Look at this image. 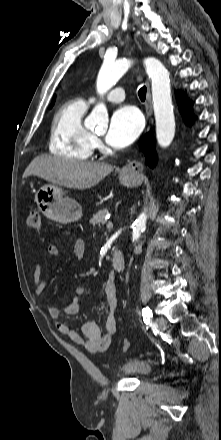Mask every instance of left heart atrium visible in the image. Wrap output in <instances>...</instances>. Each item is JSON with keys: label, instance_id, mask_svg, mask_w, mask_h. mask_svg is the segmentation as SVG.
Segmentation results:
<instances>
[{"label": "left heart atrium", "instance_id": "left-heart-atrium-1", "mask_svg": "<svg viewBox=\"0 0 221 440\" xmlns=\"http://www.w3.org/2000/svg\"><path fill=\"white\" fill-rule=\"evenodd\" d=\"M143 126L141 114L131 106H123L111 117L106 134V142L114 148L130 145L139 135Z\"/></svg>", "mask_w": 221, "mask_h": 440}]
</instances>
